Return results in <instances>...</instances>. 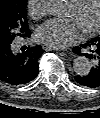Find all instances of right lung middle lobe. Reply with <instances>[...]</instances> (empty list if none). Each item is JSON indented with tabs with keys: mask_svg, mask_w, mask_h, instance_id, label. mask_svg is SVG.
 <instances>
[{
	"mask_svg": "<svg viewBox=\"0 0 100 118\" xmlns=\"http://www.w3.org/2000/svg\"><path fill=\"white\" fill-rule=\"evenodd\" d=\"M27 0H0V43L28 37Z\"/></svg>",
	"mask_w": 100,
	"mask_h": 118,
	"instance_id": "obj_1",
	"label": "right lung middle lobe"
}]
</instances>
